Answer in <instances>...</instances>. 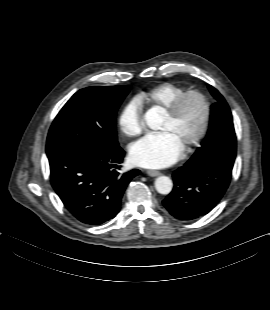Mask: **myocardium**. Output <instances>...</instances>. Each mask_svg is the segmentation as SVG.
Masks as SVG:
<instances>
[{
	"label": "myocardium",
	"instance_id": "obj_1",
	"mask_svg": "<svg viewBox=\"0 0 270 310\" xmlns=\"http://www.w3.org/2000/svg\"><path fill=\"white\" fill-rule=\"evenodd\" d=\"M197 97L200 101L201 104L203 106V120H202V125L201 128L199 130V132L197 133V135L190 141V143L183 149L184 153H189L191 152L196 146H198L200 144V142L204 139L208 128H209V124H210V118H211V105L210 102L207 98V96L199 91V90H185L184 92L180 93L178 96H176L172 102L170 103V105L163 111V115L169 119V120H173L177 117V115L179 114L182 105L184 103V101L188 98V97Z\"/></svg>",
	"mask_w": 270,
	"mask_h": 310
}]
</instances>
